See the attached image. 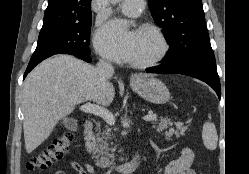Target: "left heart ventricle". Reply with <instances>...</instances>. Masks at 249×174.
Listing matches in <instances>:
<instances>
[{
    "label": "left heart ventricle",
    "instance_id": "1",
    "mask_svg": "<svg viewBox=\"0 0 249 174\" xmlns=\"http://www.w3.org/2000/svg\"><path fill=\"white\" fill-rule=\"evenodd\" d=\"M160 50V44L154 34L148 31H137L135 35L132 62L148 59Z\"/></svg>",
    "mask_w": 249,
    "mask_h": 174
}]
</instances>
